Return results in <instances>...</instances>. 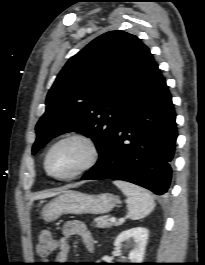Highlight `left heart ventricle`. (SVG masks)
Here are the masks:
<instances>
[{
  "instance_id": "b2bd125f",
  "label": "left heart ventricle",
  "mask_w": 205,
  "mask_h": 265,
  "mask_svg": "<svg viewBox=\"0 0 205 265\" xmlns=\"http://www.w3.org/2000/svg\"><path fill=\"white\" fill-rule=\"evenodd\" d=\"M87 148L79 141H66L58 145L48 161L49 169L56 175H68L77 170L86 160Z\"/></svg>"
}]
</instances>
